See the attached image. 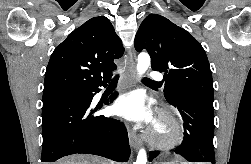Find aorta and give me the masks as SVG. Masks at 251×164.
Returning a JSON list of instances; mask_svg holds the SVG:
<instances>
[{
    "mask_svg": "<svg viewBox=\"0 0 251 164\" xmlns=\"http://www.w3.org/2000/svg\"><path fill=\"white\" fill-rule=\"evenodd\" d=\"M150 66V56L147 53H140L137 59V66L136 71L137 74L141 77L145 74L147 69ZM147 162V155L144 149H140L137 160L134 164H146Z\"/></svg>",
    "mask_w": 251,
    "mask_h": 164,
    "instance_id": "762f6f07",
    "label": "aorta"
}]
</instances>
